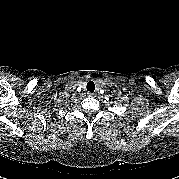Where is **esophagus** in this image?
Listing matches in <instances>:
<instances>
[{"label": "esophagus", "mask_w": 179, "mask_h": 179, "mask_svg": "<svg viewBox=\"0 0 179 179\" xmlns=\"http://www.w3.org/2000/svg\"><path fill=\"white\" fill-rule=\"evenodd\" d=\"M87 96H88V97H94V96H95V94H94V93L89 92V93H87Z\"/></svg>", "instance_id": "obj_1"}]
</instances>
